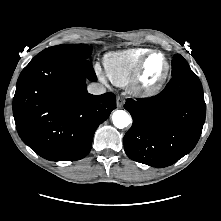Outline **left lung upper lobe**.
<instances>
[{"label":"left lung upper lobe","instance_id":"5c2ea615","mask_svg":"<svg viewBox=\"0 0 221 221\" xmlns=\"http://www.w3.org/2000/svg\"><path fill=\"white\" fill-rule=\"evenodd\" d=\"M186 70H191L187 61L180 54H176L172 60V76Z\"/></svg>","mask_w":221,"mask_h":221}]
</instances>
